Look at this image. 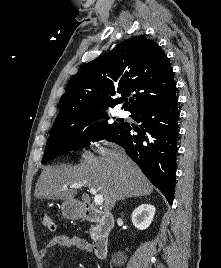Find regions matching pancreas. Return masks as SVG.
I'll use <instances>...</instances> for the list:
<instances>
[{
	"label": "pancreas",
	"mask_w": 221,
	"mask_h": 268,
	"mask_svg": "<svg viewBox=\"0 0 221 268\" xmlns=\"http://www.w3.org/2000/svg\"><path fill=\"white\" fill-rule=\"evenodd\" d=\"M97 230H98V226H92L90 228V235H91V238L94 239L96 234H97Z\"/></svg>",
	"instance_id": "obj_1"
}]
</instances>
